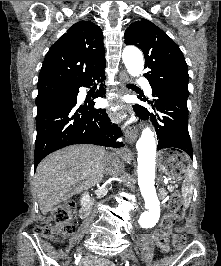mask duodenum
Instances as JSON below:
<instances>
[{"label":"duodenum","mask_w":221,"mask_h":266,"mask_svg":"<svg viewBox=\"0 0 221 266\" xmlns=\"http://www.w3.org/2000/svg\"><path fill=\"white\" fill-rule=\"evenodd\" d=\"M90 213V202L88 199H83V207L81 210V217L85 218L89 215Z\"/></svg>","instance_id":"duodenum-1"}]
</instances>
